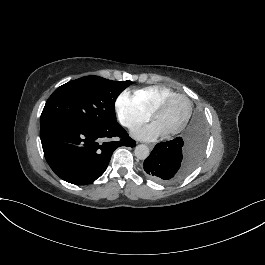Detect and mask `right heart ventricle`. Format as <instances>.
<instances>
[{
  "label": "right heart ventricle",
  "mask_w": 265,
  "mask_h": 265,
  "mask_svg": "<svg viewBox=\"0 0 265 265\" xmlns=\"http://www.w3.org/2000/svg\"><path fill=\"white\" fill-rule=\"evenodd\" d=\"M170 93H173L171 89L161 85L150 86L134 91L135 97L139 99L150 112H152L155 104L161 98Z\"/></svg>",
  "instance_id": "right-heart-ventricle-1"
}]
</instances>
